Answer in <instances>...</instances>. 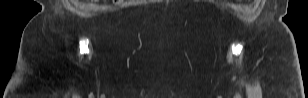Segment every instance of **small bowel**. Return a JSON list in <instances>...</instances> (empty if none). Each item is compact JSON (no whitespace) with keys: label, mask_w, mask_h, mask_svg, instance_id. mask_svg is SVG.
Listing matches in <instances>:
<instances>
[{"label":"small bowel","mask_w":308,"mask_h":98,"mask_svg":"<svg viewBox=\"0 0 308 98\" xmlns=\"http://www.w3.org/2000/svg\"><path fill=\"white\" fill-rule=\"evenodd\" d=\"M121 1L119 0L118 2H117V4H119Z\"/></svg>","instance_id":"obj_1"}]
</instances>
